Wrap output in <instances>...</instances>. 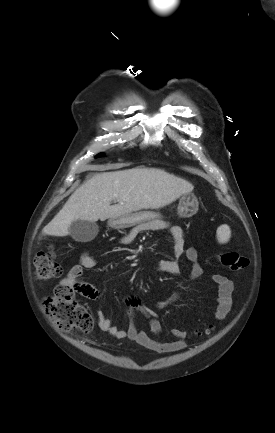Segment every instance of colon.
<instances>
[{"label":"colon","instance_id":"colon-1","mask_svg":"<svg viewBox=\"0 0 275 433\" xmlns=\"http://www.w3.org/2000/svg\"><path fill=\"white\" fill-rule=\"evenodd\" d=\"M222 265L232 271H239L248 266V259L236 251L220 255ZM35 276L41 280L58 277L62 267L56 260L51 247L47 252H38L34 258ZM44 310L53 324L64 332L88 333L94 322L90 313L74 296L73 290L67 286L57 287L53 294L44 301ZM211 327L205 329L209 334Z\"/></svg>","mask_w":275,"mask_h":433}]
</instances>
